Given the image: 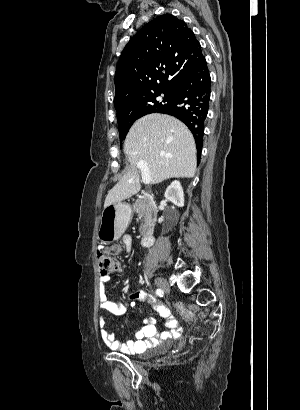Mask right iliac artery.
Wrapping results in <instances>:
<instances>
[{"mask_svg":"<svg viewBox=\"0 0 300 410\" xmlns=\"http://www.w3.org/2000/svg\"><path fill=\"white\" fill-rule=\"evenodd\" d=\"M155 293H156V295H158L160 297H162L163 294H164L163 290H161V289H157Z\"/></svg>","mask_w":300,"mask_h":410,"instance_id":"82829eb1","label":"right iliac artery"}]
</instances>
